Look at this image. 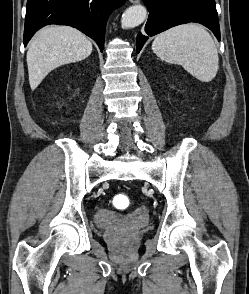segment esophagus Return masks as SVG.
<instances>
[{"label":"esophagus","instance_id":"34e87169","mask_svg":"<svg viewBox=\"0 0 249 294\" xmlns=\"http://www.w3.org/2000/svg\"><path fill=\"white\" fill-rule=\"evenodd\" d=\"M131 3L136 4L139 3L140 0H129Z\"/></svg>","mask_w":249,"mask_h":294}]
</instances>
